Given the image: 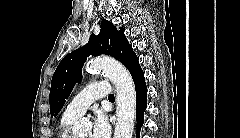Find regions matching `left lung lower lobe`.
<instances>
[{"label": "left lung lower lobe", "instance_id": "1", "mask_svg": "<svg viewBox=\"0 0 240 138\" xmlns=\"http://www.w3.org/2000/svg\"><path fill=\"white\" fill-rule=\"evenodd\" d=\"M136 89V120H137V138H139L140 128L144 121V111L147 105V87L144 73L139 65L138 58L135 55L127 66Z\"/></svg>", "mask_w": 240, "mask_h": 138}]
</instances>
